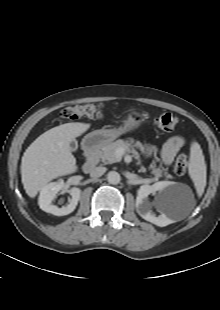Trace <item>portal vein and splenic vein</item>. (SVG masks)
Returning <instances> with one entry per match:
<instances>
[{
  "label": "portal vein and splenic vein",
  "mask_w": 220,
  "mask_h": 310,
  "mask_svg": "<svg viewBox=\"0 0 220 310\" xmlns=\"http://www.w3.org/2000/svg\"><path fill=\"white\" fill-rule=\"evenodd\" d=\"M116 154H117L118 156H122V155L124 154V149H123V148L117 149Z\"/></svg>",
  "instance_id": "portal-vein-and-splenic-vein-1"
}]
</instances>
